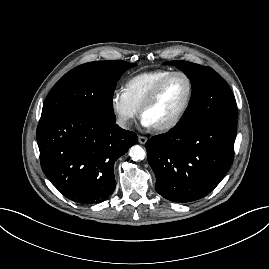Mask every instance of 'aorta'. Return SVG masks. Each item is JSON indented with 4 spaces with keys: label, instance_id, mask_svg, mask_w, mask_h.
Instances as JSON below:
<instances>
[{
    "label": "aorta",
    "instance_id": "aorta-1",
    "mask_svg": "<svg viewBox=\"0 0 269 269\" xmlns=\"http://www.w3.org/2000/svg\"><path fill=\"white\" fill-rule=\"evenodd\" d=\"M129 155L133 161H139L145 158L146 152L141 146L134 145L131 147Z\"/></svg>",
    "mask_w": 269,
    "mask_h": 269
}]
</instances>
